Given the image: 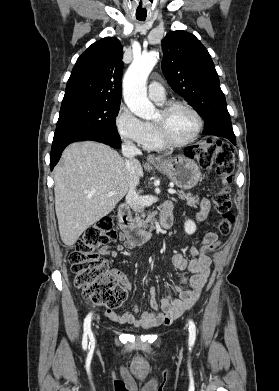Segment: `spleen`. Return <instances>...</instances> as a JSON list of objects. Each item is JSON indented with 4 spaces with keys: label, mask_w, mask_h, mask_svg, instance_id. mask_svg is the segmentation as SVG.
<instances>
[{
    "label": "spleen",
    "mask_w": 279,
    "mask_h": 391,
    "mask_svg": "<svg viewBox=\"0 0 279 391\" xmlns=\"http://www.w3.org/2000/svg\"><path fill=\"white\" fill-rule=\"evenodd\" d=\"M223 183L225 184V183H226V180H224Z\"/></svg>",
    "instance_id": "1"
}]
</instances>
